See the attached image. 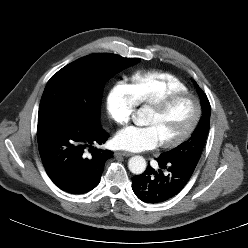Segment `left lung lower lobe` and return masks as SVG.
<instances>
[{
	"mask_svg": "<svg viewBox=\"0 0 248 248\" xmlns=\"http://www.w3.org/2000/svg\"><path fill=\"white\" fill-rule=\"evenodd\" d=\"M160 169L155 171L150 165L144 173L132 178L135 195L146 203H160L176 196L189 181L197 161L156 159ZM166 170L165 172L162 170Z\"/></svg>",
	"mask_w": 248,
	"mask_h": 248,
	"instance_id": "0a47b994",
	"label": "left lung lower lobe"
}]
</instances>
